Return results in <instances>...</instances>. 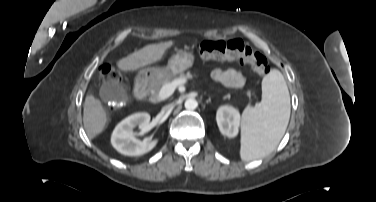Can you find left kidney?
Here are the masks:
<instances>
[{
	"label": "left kidney",
	"instance_id": "5707ae66",
	"mask_svg": "<svg viewBox=\"0 0 376 202\" xmlns=\"http://www.w3.org/2000/svg\"><path fill=\"white\" fill-rule=\"evenodd\" d=\"M240 113L231 106H222L218 109L216 120L220 132L230 138L236 137L240 126Z\"/></svg>",
	"mask_w": 376,
	"mask_h": 202
}]
</instances>
